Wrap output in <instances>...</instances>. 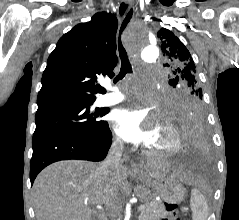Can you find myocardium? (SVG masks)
Masks as SVG:
<instances>
[{
	"label": "myocardium",
	"instance_id": "obj_1",
	"mask_svg": "<svg viewBox=\"0 0 239 220\" xmlns=\"http://www.w3.org/2000/svg\"><path fill=\"white\" fill-rule=\"evenodd\" d=\"M163 127L168 132L171 138L169 146L166 148H156L146 145L145 152L148 155L156 157H171L178 154L181 151L183 147V142L180 131L177 129L175 125H173L170 122H166L165 124H163Z\"/></svg>",
	"mask_w": 239,
	"mask_h": 220
}]
</instances>
